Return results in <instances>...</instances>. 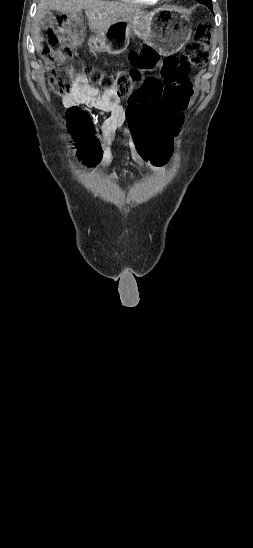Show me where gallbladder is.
I'll list each match as a JSON object with an SVG mask.
<instances>
[{"instance_id":"1","label":"gallbladder","mask_w":253,"mask_h":548,"mask_svg":"<svg viewBox=\"0 0 253 548\" xmlns=\"http://www.w3.org/2000/svg\"><path fill=\"white\" fill-rule=\"evenodd\" d=\"M52 18H53L52 12L47 11V12L45 13V15L43 16V18L41 19V22H42L43 24H45V23H47L48 21H50Z\"/></svg>"}]
</instances>
